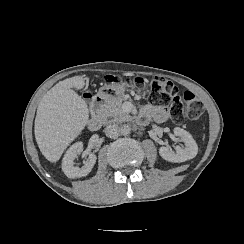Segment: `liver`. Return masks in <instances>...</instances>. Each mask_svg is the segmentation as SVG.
Segmentation results:
<instances>
[{"instance_id": "6515ba94", "label": "liver", "mask_w": 244, "mask_h": 244, "mask_svg": "<svg viewBox=\"0 0 244 244\" xmlns=\"http://www.w3.org/2000/svg\"><path fill=\"white\" fill-rule=\"evenodd\" d=\"M88 78L74 76L58 82L43 96L37 107L34 132L41 153L57 162L67 146L89 121V109L74 90L82 89Z\"/></svg>"}]
</instances>
